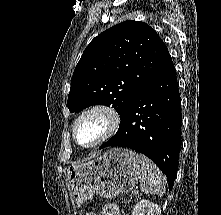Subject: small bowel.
I'll return each mask as SVG.
<instances>
[{
	"mask_svg": "<svg viewBox=\"0 0 221 215\" xmlns=\"http://www.w3.org/2000/svg\"><path fill=\"white\" fill-rule=\"evenodd\" d=\"M85 215H122L116 205H106L99 211H89Z\"/></svg>",
	"mask_w": 221,
	"mask_h": 215,
	"instance_id": "c3829d8e",
	"label": "small bowel"
}]
</instances>
